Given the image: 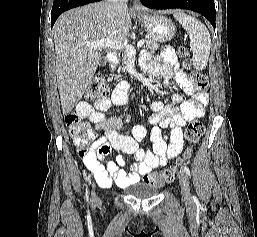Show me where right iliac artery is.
Returning a JSON list of instances; mask_svg holds the SVG:
<instances>
[{
  "label": "right iliac artery",
  "mask_w": 257,
  "mask_h": 237,
  "mask_svg": "<svg viewBox=\"0 0 257 237\" xmlns=\"http://www.w3.org/2000/svg\"><path fill=\"white\" fill-rule=\"evenodd\" d=\"M86 199L88 200V191H87V189H86Z\"/></svg>",
  "instance_id": "82829eb1"
}]
</instances>
